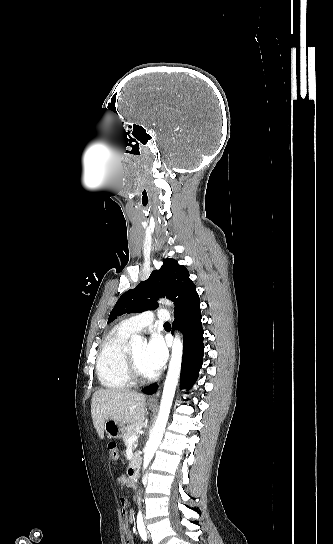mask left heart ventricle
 Listing matches in <instances>:
<instances>
[{"mask_svg": "<svg viewBox=\"0 0 333 544\" xmlns=\"http://www.w3.org/2000/svg\"><path fill=\"white\" fill-rule=\"evenodd\" d=\"M131 351H132V354H133V356L135 358V361L137 363V366H138L139 370L145 375L152 374L151 371L146 367V365L144 363V360H143L145 346L141 345V346H137V347H132Z\"/></svg>", "mask_w": 333, "mask_h": 544, "instance_id": "obj_1", "label": "left heart ventricle"}]
</instances>
